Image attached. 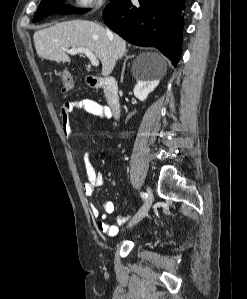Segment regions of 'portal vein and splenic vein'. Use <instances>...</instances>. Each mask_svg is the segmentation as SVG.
Here are the masks:
<instances>
[{"instance_id":"portal-vein-and-splenic-vein-1","label":"portal vein and splenic vein","mask_w":247,"mask_h":299,"mask_svg":"<svg viewBox=\"0 0 247 299\" xmlns=\"http://www.w3.org/2000/svg\"><path fill=\"white\" fill-rule=\"evenodd\" d=\"M68 53L75 55L77 53H82L85 54L87 56V58L90 60L91 64L93 66H98L99 65V61L96 58V56L94 55V53L92 51H90L87 48L84 47H74L68 50Z\"/></svg>"}]
</instances>
